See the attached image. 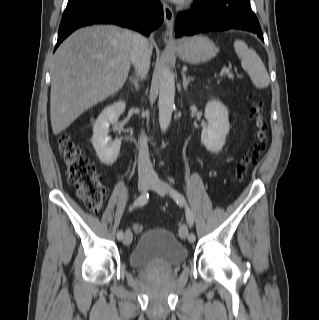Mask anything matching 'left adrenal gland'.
Instances as JSON below:
<instances>
[{
	"label": "left adrenal gland",
	"mask_w": 319,
	"mask_h": 320,
	"mask_svg": "<svg viewBox=\"0 0 319 320\" xmlns=\"http://www.w3.org/2000/svg\"><path fill=\"white\" fill-rule=\"evenodd\" d=\"M182 77H183V88L184 90H187L188 84L190 83L191 80H194L193 77H186V74L184 73V71H182Z\"/></svg>",
	"instance_id": "obj_1"
}]
</instances>
